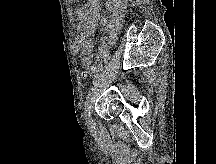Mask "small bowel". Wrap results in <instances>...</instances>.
I'll return each mask as SVG.
<instances>
[{
	"label": "small bowel",
	"instance_id": "1",
	"mask_svg": "<svg viewBox=\"0 0 216 164\" xmlns=\"http://www.w3.org/2000/svg\"><path fill=\"white\" fill-rule=\"evenodd\" d=\"M108 9L111 13L110 20L105 24L115 31L121 25L126 13V0H108ZM101 5L99 0H86L77 10L76 15L79 20L78 35L74 42V48L79 55H82V63H92L91 53L93 43L90 39L98 23L101 21ZM113 35V34H112Z\"/></svg>",
	"mask_w": 216,
	"mask_h": 164
}]
</instances>
